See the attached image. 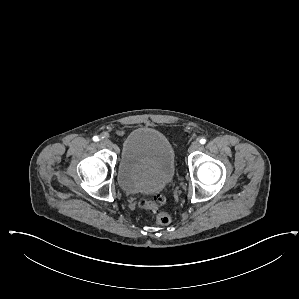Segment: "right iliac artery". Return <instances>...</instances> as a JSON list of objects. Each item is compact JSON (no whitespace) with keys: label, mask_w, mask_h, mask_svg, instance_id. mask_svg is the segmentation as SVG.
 Segmentation results:
<instances>
[{"label":"right iliac artery","mask_w":299,"mask_h":299,"mask_svg":"<svg viewBox=\"0 0 299 299\" xmlns=\"http://www.w3.org/2000/svg\"><path fill=\"white\" fill-rule=\"evenodd\" d=\"M93 141H95V142L99 141V137L98 136H94L93 137Z\"/></svg>","instance_id":"82829eb1"}]
</instances>
